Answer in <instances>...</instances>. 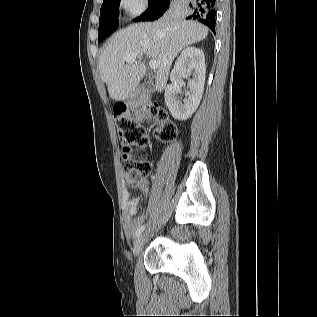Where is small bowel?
Instances as JSON below:
<instances>
[{
	"mask_svg": "<svg viewBox=\"0 0 317 317\" xmlns=\"http://www.w3.org/2000/svg\"><path fill=\"white\" fill-rule=\"evenodd\" d=\"M131 185L137 187L142 193L148 194L149 185L147 179L143 178L142 180ZM139 203L140 198L133 197L129 199L126 204L124 211V231L128 236H132L145 220L144 215L138 216L136 218L133 217L138 209Z\"/></svg>",
	"mask_w": 317,
	"mask_h": 317,
	"instance_id": "obj_1",
	"label": "small bowel"
}]
</instances>
